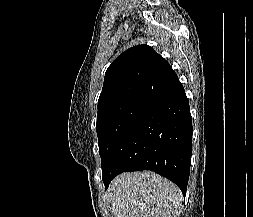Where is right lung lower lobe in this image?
I'll list each match as a JSON object with an SVG mask.
<instances>
[{
	"instance_id": "1",
	"label": "right lung lower lobe",
	"mask_w": 253,
	"mask_h": 217,
	"mask_svg": "<svg viewBox=\"0 0 253 217\" xmlns=\"http://www.w3.org/2000/svg\"><path fill=\"white\" fill-rule=\"evenodd\" d=\"M192 132L189 101L177 80L151 100L121 135L102 173L105 188L122 172L151 170L173 181L185 195Z\"/></svg>"
}]
</instances>
